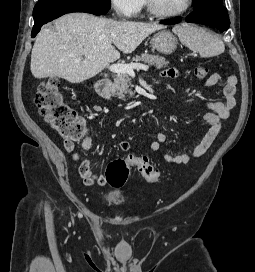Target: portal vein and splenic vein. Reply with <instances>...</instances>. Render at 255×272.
Listing matches in <instances>:
<instances>
[{
	"label": "portal vein and splenic vein",
	"instance_id": "obj_1",
	"mask_svg": "<svg viewBox=\"0 0 255 272\" xmlns=\"http://www.w3.org/2000/svg\"><path fill=\"white\" fill-rule=\"evenodd\" d=\"M79 61L80 60H76V62H79ZM135 69L147 71L149 69V66L144 64H139V63H135V64L116 63L109 66V70L113 73H127L130 75H134Z\"/></svg>",
	"mask_w": 255,
	"mask_h": 272
}]
</instances>
